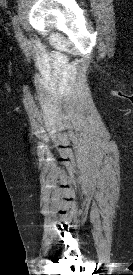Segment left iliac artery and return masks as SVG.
Wrapping results in <instances>:
<instances>
[{
    "label": "left iliac artery",
    "mask_w": 133,
    "mask_h": 275,
    "mask_svg": "<svg viewBox=\"0 0 133 275\" xmlns=\"http://www.w3.org/2000/svg\"><path fill=\"white\" fill-rule=\"evenodd\" d=\"M18 16L17 15H15L14 17H13V20H12V22H13V24L15 25V24H17V22H18ZM16 35H17V37H18V39L20 40V41H22V39H21V34L19 33V32H16Z\"/></svg>",
    "instance_id": "44dca946"
}]
</instances>
